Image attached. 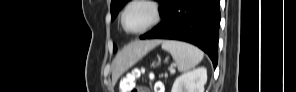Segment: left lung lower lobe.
I'll return each mask as SVG.
<instances>
[{
  "label": "left lung lower lobe",
  "instance_id": "0a47b994",
  "mask_svg": "<svg viewBox=\"0 0 296 92\" xmlns=\"http://www.w3.org/2000/svg\"><path fill=\"white\" fill-rule=\"evenodd\" d=\"M219 0H169L161 23L140 39H174L198 46L218 61Z\"/></svg>",
  "mask_w": 296,
  "mask_h": 92
}]
</instances>
